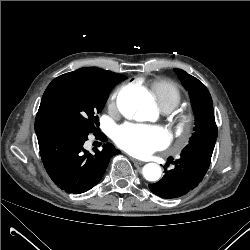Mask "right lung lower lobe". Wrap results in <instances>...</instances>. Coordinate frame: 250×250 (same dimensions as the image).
<instances>
[{
  "instance_id": "1",
  "label": "right lung lower lobe",
  "mask_w": 250,
  "mask_h": 250,
  "mask_svg": "<svg viewBox=\"0 0 250 250\" xmlns=\"http://www.w3.org/2000/svg\"><path fill=\"white\" fill-rule=\"evenodd\" d=\"M36 134L47 173L68 193L80 194L95 186L110 159L119 154L110 143L104 144L101 151L89 153L83 147L89 133L81 130L40 129Z\"/></svg>"
}]
</instances>
